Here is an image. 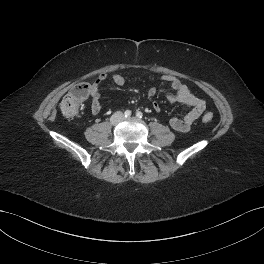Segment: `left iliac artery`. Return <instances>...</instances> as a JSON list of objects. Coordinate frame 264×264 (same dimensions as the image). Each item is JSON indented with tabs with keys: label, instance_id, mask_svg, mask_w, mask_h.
<instances>
[{
	"label": "left iliac artery",
	"instance_id": "1",
	"mask_svg": "<svg viewBox=\"0 0 264 264\" xmlns=\"http://www.w3.org/2000/svg\"><path fill=\"white\" fill-rule=\"evenodd\" d=\"M136 116H137L138 118H142V117H143V114H142V112H137V113H136Z\"/></svg>",
	"mask_w": 264,
	"mask_h": 264
}]
</instances>
